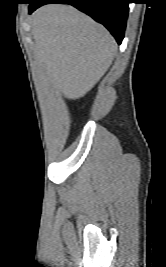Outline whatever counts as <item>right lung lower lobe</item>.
Wrapping results in <instances>:
<instances>
[{
    "label": "right lung lower lobe",
    "instance_id": "obj_1",
    "mask_svg": "<svg viewBox=\"0 0 166 267\" xmlns=\"http://www.w3.org/2000/svg\"><path fill=\"white\" fill-rule=\"evenodd\" d=\"M49 3L70 4L87 13L103 24L121 44L128 16L129 0H32L29 5L31 14L38 7Z\"/></svg>",
    "mask_w": 166,
    "mask_h": 267
}]
</instances>
